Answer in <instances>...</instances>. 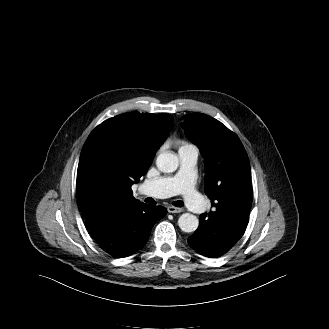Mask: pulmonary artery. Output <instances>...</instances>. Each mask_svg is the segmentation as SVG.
I'll list each match as a JSON object with an SVG mask.
<instances>
[{
	"label": "pulmonary artery",
	"instance_id": "pulmonary-artery-1",
	"mask_svg": "<svg viewBox=\"0 0 329 329\" xmlns=\"http://www.w3.org/2000/svg\"><path fill=\"white\" fill-rule=\"evenodd\" d=\"M180 169L173 176H163L145 182L141 194L162 198L176 194L183 196L185 205L193 212L200 213L206 208V203L195 190L196 163L199 149L195 145H186L179 149Z\"/></svg>",
	"mask_w": 329,
	"mask_h": 329
}]
</instances>
